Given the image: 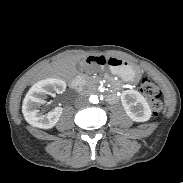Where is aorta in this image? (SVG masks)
<instances>
[{
  "mask_svg": "<svg viewBox=\"0 0 183 183\" xmlns=\"http://www.w3.org/2000/svg\"><path fill=\"white\" fill-rule=\"evenodd\" d=\"M90 102L93 103V104L98 103V102H99L98 96H96V95H91V97H90Z\"/></svg>",
  "mask_w": 183,
  "mask_h": 183,
  "instance_id": "obj_1",
  "label": "aorta"
}]
</instances>
